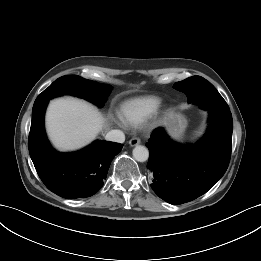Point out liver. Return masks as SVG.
I'll return each mask as SVG.
<instances>
[{
  "label": "liver",
  "instance_id": "liver-1",
  "mask_svg": "<svg viewBox=\"0 0 261 261\" xmlns=\"http://www.w3.org/2000/svg\"><path fill=\"white\" fill-rule=\"evenodd\" d=\"M105 126L101 113L91 104L79 99H55L47 109L46 128L49 138L62 151L86 146Z\"/></svg>",
  "mask_w": 261,
  "mask_h": 261
}]
</instances>
